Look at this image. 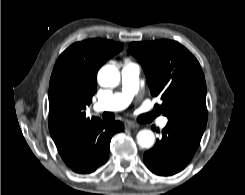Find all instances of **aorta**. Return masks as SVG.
I'll list each match as a JSON object with an SVG mask.
<instances>
[{"mask_svg":"<svg viewBox=\"0 0 245 195\" xmlns=\"http://www.w3.org/2000/svg\"><path fill=\"white\" fill-rule=\"evenodd\" d=\"M98 82L103 87H116L120 82V73L113 65H106L98 72ZM155 136L150 130H141L137 134V142L142 148L153 146Z\"/></svg>","mask_w":245,"mask_h":195,"instance_id":"aorta-1","label":"aorta"}]
</instances>
